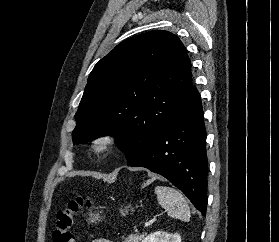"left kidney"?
Here are the masks:
<instances>
[{"label":"left kidney","mask_w":279,"mask_h":242,"mask_svg":"<svg viewBox=\"0 0 279 242\" xmlns=\"http://www.w3.org/2000/svg\"><path fill=\"white\" fill-rule=\"evenodd\" d=\"M142 242H181V236L178 233L156 231L145 237Z\"/></svg>","instance_id":"left-kidney-1"}]
</instances>
